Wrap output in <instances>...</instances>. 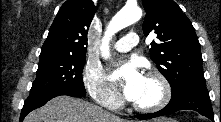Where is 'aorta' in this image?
<instances>
[{"mask_svg":"<svg viewBox=\"0 0 221 122\" xmlns=\"http://www.w3.org/2000/svg\"><path fill=\"white\" fill-rule=\"evenodd\" d=\"M142 17V11L137 6H125L110 21L102 40L103 56H108L110 38L118 31L133 24Z\"/></svg>","mask_w":221,"mask_h":122,"instance_id":"aorta-1","label":"aorta"}]
</instances>
